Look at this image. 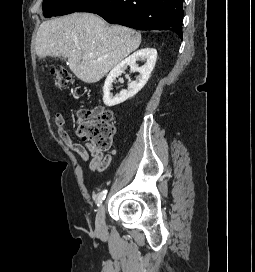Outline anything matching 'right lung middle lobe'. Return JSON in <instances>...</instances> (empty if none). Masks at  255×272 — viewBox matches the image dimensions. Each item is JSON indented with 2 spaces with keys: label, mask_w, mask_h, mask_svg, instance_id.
Here are the masks:
<instances>
[{
  "label": "right lung middle lobe",
  "mask_w": 255,
  "mask_h": 272,
  "mask_svg": "<svg viewBox=\"0 0 255 272\" xmlns=\"http://www.w3.org/2000/svg\"><path fill=\"white\" fill-rule=\"evenodd\" d=\"M90 0H44L43 14L46 18L61 16L78 11Z\"/></svg>",
  "instance_id": "dd1d6c3e"
}]
</instances>
